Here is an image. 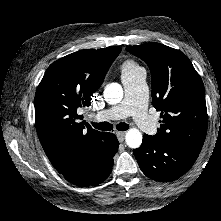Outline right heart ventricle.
<instances>
[{
    "mask_svg": "<svg viewBox=\"0 0 221 221\" xmlns=\"http://www.w3.org/2000/svg\"><path fill=\"white\" fill-rule=\"evenodd\" d=\"M141 69L142 67H140L134 60H126L121 65V77H129Z\"/></svg>",
    "mask_w": 221,
    "mask_h": 221,
    "instance_id": "1",
    "label": "right heart ventricle"
}]
</instances>
